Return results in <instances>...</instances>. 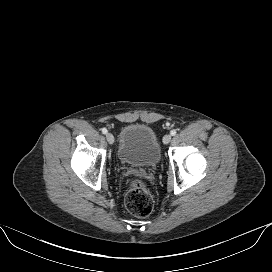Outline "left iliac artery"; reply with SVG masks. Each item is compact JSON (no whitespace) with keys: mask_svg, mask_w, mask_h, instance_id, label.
<instances>
[{"mask_svg":"<svg viewBox=\"0 0 272 272\" xmlns=\"http://www.w3.org/2000/svg\"><path fill=\"white\" fill-rule=\"evenodd\" d=\"M176 130H171V132H170V134L172 135V136H175L176 135Z\"/></svg>","mask_w":272,"mask_h":272,"instance_id":"left-iliac-artery-1","label":"left iliac artery"}]
</instances>
